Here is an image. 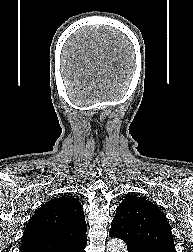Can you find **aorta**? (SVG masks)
I'll list each match as a JSON object with an SVG mask.
<instances>
[{"instance_id":"762f6f07","label":"aorta","mask_w":193,"mask_h":252,"mask_svg":"<svg viewBox=\"0 0 193 252\" xmlns=\"http://www.w3.org/2000/svg\"><path fill=\"white\" fill-rule=\"evenodd\" d=\"M107 252H127V247L121 239H111L107 243Z\"/></svg>"}]
</instances>
